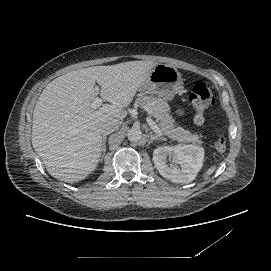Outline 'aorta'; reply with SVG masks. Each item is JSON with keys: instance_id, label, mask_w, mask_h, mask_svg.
<instances>
[{"instance_id": "obj_1", "label": "aorta", "mask_w": 271, "mask_h": 271, "mask_svg": "<svg viewBox=\"0 0 271 271\" xmlns=\"http://www.w3.org/2000/svg\"><path fill=\"white\" fill-rule=\"evenodd\" d=\"M129 141L137 143L142 140V131L139 128H131L127 134Z\"/></svg>"}]
</instances>
